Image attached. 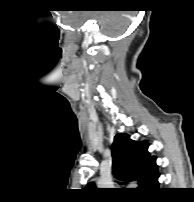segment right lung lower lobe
I'll use <instances>...</instances> for the list:
<instances>
[{"label":"right lung lower lobe","mask_w":194,"mask_h":202,"mask_svg":"<svg viewBox=\"0 0 194 202\" xmlns=\"http://www.w3.org/2000/svg\"><path fill=\"white\" fill-rule=\"evenodd\" d=\"M158 189V187L157 188H155V189H153V190H157Z\"/></svg>","instance_id":"right-lung-lower-lobe-1"}]
</instances>
